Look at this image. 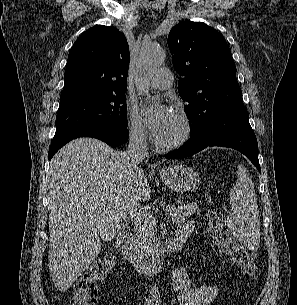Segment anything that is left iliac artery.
<instances>
[{"label":"left iliac artery","mask_w":297,"mask_h":305,"mask_svg":"<svg viewBox=\"0 0 297 305\" xmlns=\"http://www.w3.org/2000/svg\"><path fill=\"white\" fill-rule=\"evenodd\" d=\"M156 305H161V300L157 298Z\"/></svg>","instance_id":"44dca946"}]
</instances>
